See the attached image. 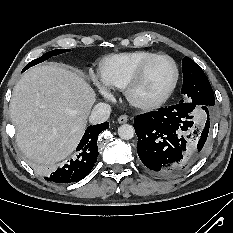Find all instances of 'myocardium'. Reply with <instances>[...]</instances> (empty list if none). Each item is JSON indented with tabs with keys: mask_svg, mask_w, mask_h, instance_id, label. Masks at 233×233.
Returning <instances> with one entry per match:
<instances>
[{
	"mask_svg": "<svg viewBox=\"0 0 233 233\" xmlns=\"http://www.w3.org/2000/svg\"><path fill=\"white\" fill-rule=\"evenodd\" d=\"M161 58H166V59L170 60V62L172 63L173 78H172L171 82L169 83V85L166 87V89L158 97L151 99V100H139L135 96L136 88L138 87L139 83L141 82L148 67L153 62H155L156 60L161 59ZM178 79H179V69H178V66H177L175 60L167 54H156L153 57L144 61L132 74L131 78L129 79L128 83L125 86V96H126L127 100L129 101V103L136 108H139L142 110L155 109V108L161 106L170 97V95L173 93V91L177 85Z\"/></svg>",
	"mask_w": 233,
	"mask_h": 233,
	"instance_id": "myocardium-1",
	"label": "myocardium"
}]
</instances>
